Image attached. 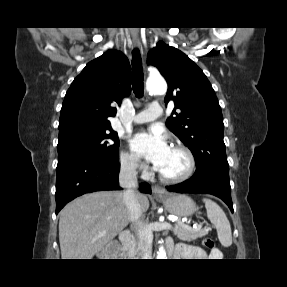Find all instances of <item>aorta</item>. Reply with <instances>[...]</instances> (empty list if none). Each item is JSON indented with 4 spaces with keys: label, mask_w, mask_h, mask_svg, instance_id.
Instances as JSON below:
<instances>
[{
    "label": "aorta",
    "mask_w": 287,
    "mask_h": 287,
    "mask_svg": "<svg viewBox=\"0 0 287 287\" xmlns=\"http://www.w3.org/2000/svg\"><path fill=\"white\" fill-rule=\"evenodd\" d=\"M146 89L151 93L163 94L167 90V85L162 78L148 79ZM157 259H167L166 251L163 246H160L159 251L157 252Z\"/></svg>",
    "instance_id": "762f6f07"
}]
</instances>
